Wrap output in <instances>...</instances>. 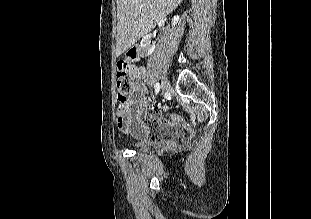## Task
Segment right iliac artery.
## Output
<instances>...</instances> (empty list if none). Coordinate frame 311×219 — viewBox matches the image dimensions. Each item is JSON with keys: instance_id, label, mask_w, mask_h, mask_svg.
<instances>
[{"instance_id": "1", "label": "right iliac artery", "mask_w": 311, "mask_h": 219, "mask_svg": "<svg viewBox=\"0 0 311 219\" xmlns=\"http://www.w3.org/2000/svg\"><path fill=\"white\" fill-rule=\"evenodd\" d=\"M154 88H155V93L158 94L160 91V84L157 82Z\"/></svg>"}]
</instances>
